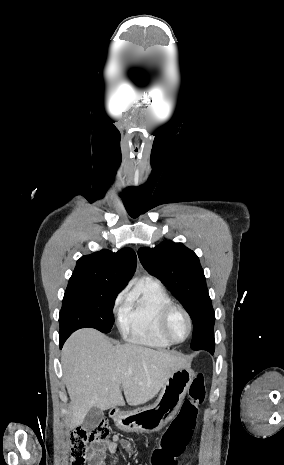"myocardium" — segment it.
Instances as JSON below:
<instances>
[{"instance_id": "obj_1", "label": "myocardium", "mask_w": 284, "mask_h": 465, "mask_svg": "<svg viewBox=\"0 0 284 465\" xmlns=\"http://www.w3.org/2000/svg\"><path fill=\"white\" fill-rule=\"evenodd\" d=\"M175 311H181L186 319H187V324H188V333H187V336L181 340V341H175L171 338V336L169 335L168 331H167V325H168V322H169V319L171 317V315L175 312ZM192 331H193V321H192V318H191V315L190 313L182 306L180 305H176V304H171L169 306H167L165 308V310L163 311V313L161 314L160 316V320H159V332L161 334V336L169 343V344H172V345H180V344H183L185 343L191 336L192 334Z\"/></svg>"}]
</instances>
